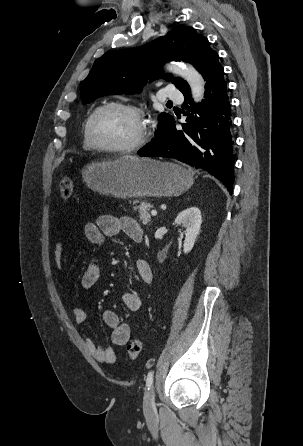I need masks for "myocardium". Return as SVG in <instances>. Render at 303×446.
<instances>
[{
    "label": "myocardium",
    "mask_w": 303,
    "mask_h": 446,
    "mask_svg": "<svg viewBox=\"0 0 303 446\" xmlns=\"http://www.w3.org/2000/svg\"><path fill=\"white\" fill-rule=\"evenodd\" d=\"M108 109H118V110L127 111V112L133 114L139 120L140 132L134 141H132L131 143L124 145V146L114 147V146L101 145L95 140V138L93 136V132H92L93 122H94L95 118L102 111H105ZM149 130H150L149 124L145 117V113L141 108H139L135 105H132V104L120 103V102H108V103L98 106L90 114V116L87 119L86 125H85V134H86V138H87V141L90 144V146L95 150L102 151V152H108V153H129V152H133V151L140 149L141 147H143L145 145V143L148 140Z\"/></svg>",
    "instance_id": "f54148a6"
}]
</instances>
